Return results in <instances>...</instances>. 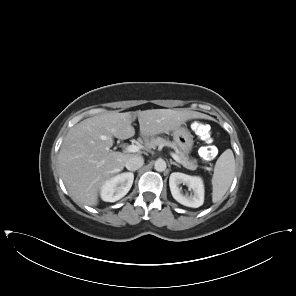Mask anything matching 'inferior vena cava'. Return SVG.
Returning a JSON list of instances; mask_svg holds the SVG:
<instances>
[{
  "label": "inferior vena cava",
  "instance_id": "602c4592",
  "mask_svg": "<svg viewBox=\"0 0 296 296\" xmlns=\"http://www.w3.org/2000/svg\"><path fill=\"white\" fill-rule=\"evenodd\" d=\"M144 164V159L141 156H132L130 157L126 163H125V167L130 170V171H135L138 170L139 168H141Z\"/></svg>",
  "mask_w": 296,
  "mask_h": 296
}]
</instances>
